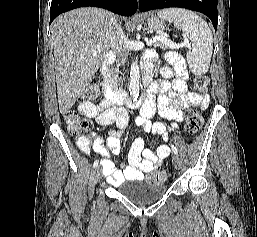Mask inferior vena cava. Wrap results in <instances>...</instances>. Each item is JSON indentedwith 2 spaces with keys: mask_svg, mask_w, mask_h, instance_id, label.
Wrapping results in <instances>:
<instances>
[{
  "mask_svg": "<svg viewBox=\"0 0 257 237\" xmlns=\"http://www.w3.org/2000/svg\"><path fill=\"white\" fill-rule=\"evenodd\" d=\"M111 24L113 28L111 48L117 54L122 65H124L128 56V50L126 47V37L123 33L121 26L118 24L115 18L112 19Z\"/></svg>",
  "mask_w": 257,
  "mask_h": 237,
  "instance_id": "inferior-vena-cava-1",
  "label": "inferior vena cava"
}]
</instances>
